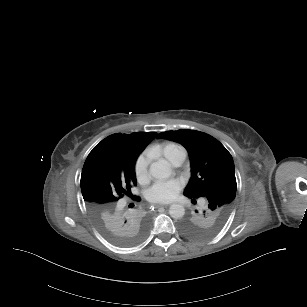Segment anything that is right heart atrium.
<instances>
[{"label":"right heart atrium","mask_w":307,"mask_h":307,"mask_svg":"<svg viewBox=\"0 0 307 307\" xmlns=\"http://www.w3.org/2000/svg\"><path fill=\"white\" fill-rule=\"evenodd\" d=\"M146 172V163L143 156L139 157L136 163V173L143 175Z\"/></svg>","instance_id":"obj_1"}]
</instances>
